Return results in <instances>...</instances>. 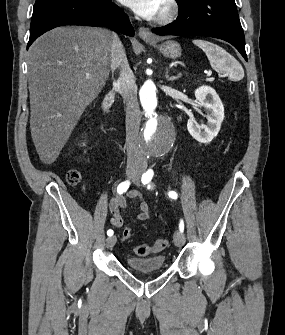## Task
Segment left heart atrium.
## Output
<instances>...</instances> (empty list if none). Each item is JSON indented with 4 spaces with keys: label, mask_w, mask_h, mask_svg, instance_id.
<instances>
[{
    "label": "left heart atrium",
    "mask_w": 285,
    "mask_h": 335,
    "mask_svg": "<svg viewBox=\"0 0 285 335\" xmlns=\"http://www.w3.org/2000/svg\"><path fill=\"white\" fill-rule=\"evenodd\" d=\"M145 19H155L160 12L159 1H120Z\"/></svg>",
    "instance_id": "left-heart-atrium-1"
}]
</instances>
